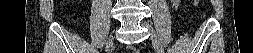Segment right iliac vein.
Masks as SVG:
<instances>
[{
	"instance_id": "obj_1",
	"label": "right iliac vein",
	"mask_w": 253,
	"mask_h": 53,
	"mask_svg": "<svg viewBox=\"0 0 253 53\" xmlns=\"http://www.w3.org/2000/svg\"><path fill=\"white\" fill-rule=\"evenodd\" d=\"M113 43H114V37L113 36H110L108 42H107V49H110L112 46H113Z\"/></svg>"
}]
</instances>
